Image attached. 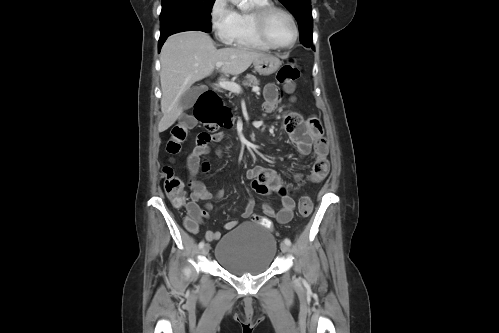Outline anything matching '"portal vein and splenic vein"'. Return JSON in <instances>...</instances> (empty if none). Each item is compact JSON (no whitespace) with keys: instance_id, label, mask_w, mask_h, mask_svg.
<instances>
[{"instance_id":"portal-vein-and-splenic-vein-1","label":"portal vein and splenic vein","mask_w":499,"mask_h":333,"mask_svg":"<svg viewBox=\"0 0 499 333\" xmlns=\"http://www.w3.org/2000/svg\"><path fill=\"white\" fill-rule=\"evenodd\" d=\"M223 63L222 62H217L216 63V67L217 68H220L222 67ZM218 86L223 88V89H226V90H229L231 92H234V93H240L242 91L240 85H238L237 83H234V82H230V81H219L218 82ZM253 91L254 92H258L259 91V88L256 87V88H253Z\"/></svg>"}]
</instances>
